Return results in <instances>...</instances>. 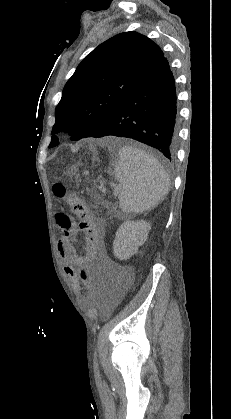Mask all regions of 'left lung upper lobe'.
<instances>
[{
	"mask_svg": "<svg viewBox=\"0 0 231 419\" xmlns=\"http://www.w3.org/2000/svg\"><path fill=\"white\" fill-rule=\"evenodd\" d=\"M163 59L156 43L134 31L100 44L78 65L63 89L49 147L59 144L55 134L62 131L68 132L73 141L95 134Z\"/></svg>",
	"mask_w": 231,
	"mask_h": 419,
	"instance_id": "5c2ea615",
	"label": "left lung upper lobe"
}]
</instances>
